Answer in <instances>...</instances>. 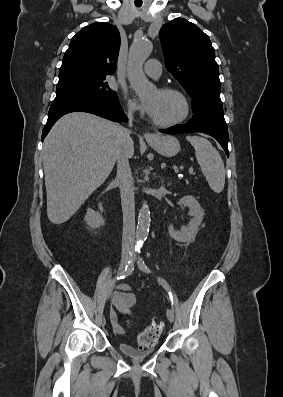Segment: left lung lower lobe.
<instances>
[{"mask_svg":"<svg viewBox=\"0 0 283 397\" xmlns=\"http://www.w3.org/2000/svg\"><path fill=\"white\" fill-rule=\"evenodd\" d=\"M166 134H178L185 132H202L214 137L225 150L229 157L228 151V128L224 115H218L211 112H196L192 118L183 125H176L166 130H160Z\"/></svg>","mask_w":283,"mask_h":397,"instance_id":"1","label":"left lung lower lobe"}]
</instances>
